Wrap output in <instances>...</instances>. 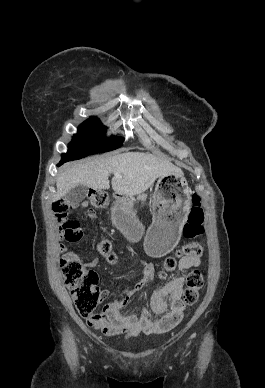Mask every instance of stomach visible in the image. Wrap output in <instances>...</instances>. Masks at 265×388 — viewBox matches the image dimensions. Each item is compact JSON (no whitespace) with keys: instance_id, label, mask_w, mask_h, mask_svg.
<instances>
[{"instance_id":"1","label":"stomach","mask_w":265,"mask_h":388,"mask_svg":"<svg viewBox=\"0 0 265 388\" xmlns=\"http://www.w3.org/2000/svg\"><path fill=\"white\" fill-rule=\"evenodd\" d=\"M190 207L191 189L183 174L160 176L153 194V222L145 237L149 255L162 257L174 249L179 242ZM112 216L128 239L137 241L142 237L143 226L136 219L133 203L129 198L116 200Z\"/></svg>"}]
</instances>
